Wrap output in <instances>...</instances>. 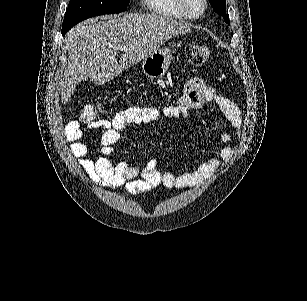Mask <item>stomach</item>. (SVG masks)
<instances>
[{"mask_svg": "<svg viewBox=\"0 0 307 301\" xmlns=\"http://www.w3.org/2000/svg\"><path fill=\"white\" fill-rule=\"evenodd\" d=\"M173 52L168 46L158 48L148 54L142 62V70L148 78H160L171 66Z\"/></svg>", "mask_w": 307, "mask_h": 301, "instance_id": "obj_1", "label": "stomach"}]
</instances>
